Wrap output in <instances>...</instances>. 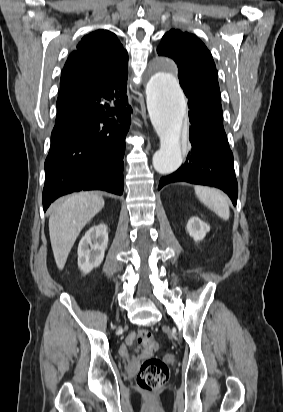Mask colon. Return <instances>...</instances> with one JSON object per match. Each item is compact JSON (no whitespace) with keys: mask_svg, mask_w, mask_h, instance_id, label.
<instances>
[{"mask_svg":"<svg viewBox=\"0 0 283 412\" xmlns=\"http://www.w3.org/2000/svg\"><path fill=\"white\" fill-rule=\"evenodd\" d=\"M137 342L148 350H156L158 342L147 329H140L136 334ZM169 368L160 358L150 357L141 364L137 383L148 395L153 396L168 380Z\"/></svg>","mask_w":283,"mask_h":412,"instance_id":"colon-1","label":"colon"}]
</instances>
